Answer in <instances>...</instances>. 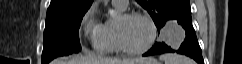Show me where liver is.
Instances as JSON below:
<instances>
[{
	"label": "liver",
	"mask_w": 242,
	"mask_h": 64,
	"mask_svg": "<svg viewBox=\"0 0 242 64\" xmlns=\"http://www.w3.org/2000/svg\"><path fill=\"white\" fill-rule=\"evenodd\" d=\"M149 58H136V59H112L102 58L93 55L89 56H76L70 59L60 58L52 62V64H145L150 62Z\"/></svg>",
	"instance_id": "6515ba94"
}]
</instances>
